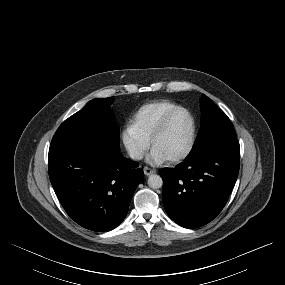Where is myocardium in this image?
<instances>
[{"mask_svg":"<svg viewBox=\"0 0 285 285\" xmlns=\"http://www.w3.org/2000/svg\"><path fill=\"white\" fill-rule=\"evenodd\" d=\"M178 112H185L188 117L190 118L191 121V134H190V139H189V143L187 148L184 150L183 153H181L180 155H178L177 157L171 158V159H167L166 161L169 164H178L181 163L182 161H184L185 159H187L190 154L192 153L195 144H196V140H197V122L195 119V116L193 115V113L182 106H178L175 107L173 109H171L170 111H168L163 118L160 120V122L158 123V125L156 126L155 130L153 131L151 137H150V145L151 148H154V143L155 141L163 134V132L165 131L169 121L171 120V118Z\"/></svg>","mask_w":285,"mask_h":285,"instance_id":"f54148a6","label":"myocardium"}]
</instances>
